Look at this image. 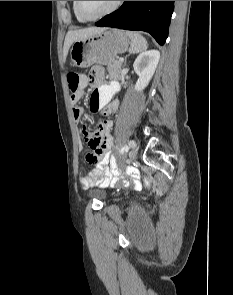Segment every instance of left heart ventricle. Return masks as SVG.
<instances>
[{
  "instance_id": "left-heart-ventricle-1",
  "label": "left heart ventricle",
  "mask_w": 233,
  "mask_h": 295,
  "mask_svg": "<svg viewBox=\"0 0 233 295\" xmlns=\"http://www.w3.org/2000/svg\"><path fill=\"white\" fill-rule=\"evenodd\" d=\"M115 1H80L82 12L87 16H96L108 10Z\"/></svg>"
}]
</instances>
